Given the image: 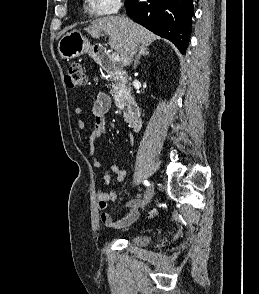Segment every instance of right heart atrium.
Masks as SVG:
<instances>
[{"label":"right heart atrium","instance_id":"1","mask_svg":"<svg viewBox=\"0 0 259 294\" xmlns=\"http://www.w3.org/2000/svg\"><path fill=\"white\" fill-rule=\"evenodd\" d=\"M122 0H86L88 10L96 16H107L116 13Z\"/></svg>","mask_w":259,"mask_h":294}]
</instances>
